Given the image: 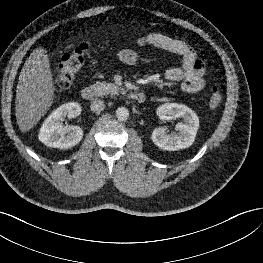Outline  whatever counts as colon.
Here are the masks:
<instances>
[{"instance_id":"1","label":"colon","mask_w":263,"mask_h":263,"mask_svg":"<svg viewBox=\"0 0 263 263\" xmlns=\"http://www.w3.org/2000/svg\"><path fill=\"white\" fill-rule=\"evenodd\" d=\"M88 47V42H81L71 46L63 55L56 69V76L54 79V86L56 90H64L70 86L72 80L80 71L84 63V56L88 50ZM222 101V90L217 86L211 87L208 92L209 107L215 109L220 106Z\"/></svg>"}]
</instances>
